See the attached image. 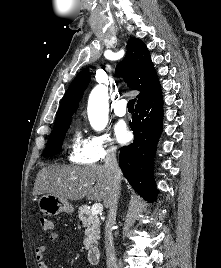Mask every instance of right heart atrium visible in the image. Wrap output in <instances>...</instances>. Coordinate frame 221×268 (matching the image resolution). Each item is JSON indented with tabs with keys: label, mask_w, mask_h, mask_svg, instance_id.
I'll return each instance as SVG.
<instances>
[{
	"label": "right heart atrium",
	"mask_w": 221,
	"mask_h": 268,
	"mask_svg": "<svg viewBox=\"0 0 221 268\" xmlns=\"http://www.w3.org/2000/svg\"><path fill=\"white\" fill-rule=\"evenodd\" d=\"M90 154L94 162H100L113 156L117 147L108 132L96 133L88 138Z\"/></svg>",
	"instance_id": "obj_1"
}]
</instances>
